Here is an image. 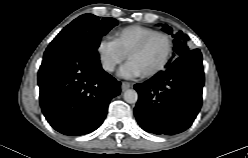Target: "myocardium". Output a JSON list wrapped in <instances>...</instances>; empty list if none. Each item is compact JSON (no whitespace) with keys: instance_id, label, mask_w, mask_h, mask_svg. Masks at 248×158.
Here are the masks:
<instances>
[{"instance_id":"myocardium-1","label":"myocardium","mask_w":248,"mask_h":158,"mask_svg":"<svg viewBox=\"0 0 248 158\" xmlns=\"http://www.w3.org/2000/svg\"><path fill=\"white\" fill-rule=\"evenodd\" d=\"M155 36H160L162 37L165 41H166V44H167V51H166V54H165V57L163 59V61L156 67L154 68L153 70L149 71V72H145L143 73V75L145 77H152L154 75H157L158 73H160L161 71H163L165 69V67L167 66V64L169 63L170 59H171V56H172V52H173V43H172V40L171 38L169 37V35H167L166 33L164 32H159V31H154L146 36H144L139 42H137L131 49L130 51L128 52L127 54V58L130 59V57L141 51L145 46L146 44Z\"/></svg>"}]
</instances>
